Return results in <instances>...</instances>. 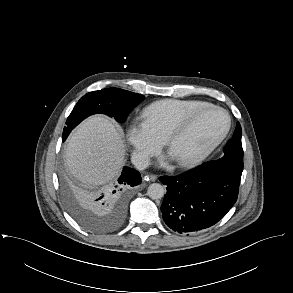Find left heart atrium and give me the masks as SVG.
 Instances as JSON below:
<instances>
[{
	"mask_svg": "<svg viewBox=\"0 0 293 293\" xmlns=\"http://www.w3.org/2000/svg\"><path fill=\"white\" fill-rule=\"evenodd\" d=\"M161 163H162V164H164V163H165V161H162Z\"/></svg>",
	"mask_w": 293,
	"mask_h": 293,
	"instance_id": "1",
	"label": "left heart atrium"
}]
</instances>
